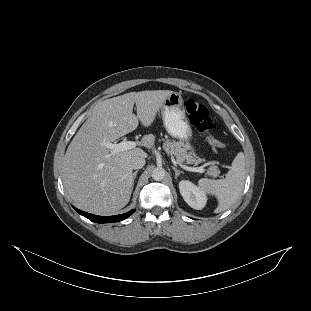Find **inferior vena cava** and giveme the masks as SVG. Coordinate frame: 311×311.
Returning a JSON list of instances; mask_svg holds the SVG:
<instances>
[{"label":"inferior vena cava","mask_w":311,"mask_h":311,"mask_svg":"<svg viewBox=\"0 0 311 311\" xmlns=\"http://www.w3.org/2000/svg\"><path fill=\"white\" fill-rule=\"evenodd\" d=\"M145 165V159L142 157H135L131 161V167L135 170L143 168Z\"/></svg>","instance_id":"obj_1"}]
</instances>
